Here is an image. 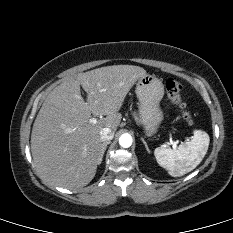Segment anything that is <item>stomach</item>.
<instances>
[{
    "instance_id": "stomach-1",
    "label": "stomach",
    "mask_w": 233,
    "mask_h": 233,
    "mask_svg": "<svg viewBox=\"0 0 233 233\" xmlns=\"http://www.w3.org/2000/svg\"><path fill=\"white\" fill-rule=\"evenodd\" d=\"M136 95L139 100V120L144 132L151 136L157 133L164 115L160 101L164 96V86L154 75L146 74L136 83Z\"/></svg>"
}]
</instances>
